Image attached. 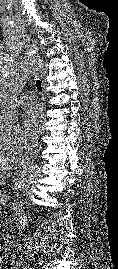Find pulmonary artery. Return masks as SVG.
I'll return each instance as SVG.
<instances>
[{
	"instance_id": "obj_1",
	"label": "pulmonary artery",
	"mask_w": 118,
	"mask_h": 269,
	"mask_svg": "<svg viewBox=\"0 0 118 269\" xmlns=\"http://www.w3.org/2000/svg\"><path fill=\"white\" fill-rule=\"evenodd\" d=\"M36 99V95L34 94V92L32 91H27L22 93L19 97H18V103L21 105H30L32 104Z\"/></svg>"
}]
</instances>
